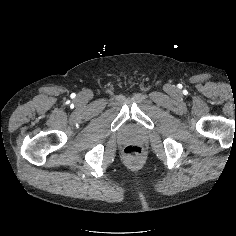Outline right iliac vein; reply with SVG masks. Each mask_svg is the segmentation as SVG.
Returning <instances> with one entry per match:
<instances>
[{"instance_id": "right-iliac-vein-1", "label": "right iliac vein", "mask_w": 236, "mask_h": 236, "mask_svg": "<svg viewBox=\"0 0 236 236\" xmlns=\"http://www.w3.org/2000/svg\"><path fill=\"white\" fill-rule=\"evenodd\" d=\"M88 99V95L86 93H82L80 95H78V100L80 102H85Z\"/></svg>"}]
</instances>
